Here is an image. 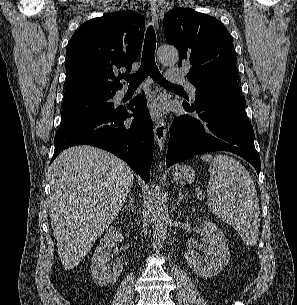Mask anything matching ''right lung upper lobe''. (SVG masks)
Wrapping results in <instances>:
<instances>
[{
    "instance_id": "cb5924a9",
    "label": "right lung upper lobe",
    "mask_w": 297,
    "mask_h": 305,
    "mask_svg": "<svg viewBox=\"0 0 297 305\" xmlns=\"http://www.w3.org/2000/svg\"><path fill=\"white\" fill-rule=\"evenodd\" d=\"M145 19L135 12H113L82 24L67 48L64 102L122 88L120 68L131 71L143 42Z\"/></svg>"
}]
</instances>
